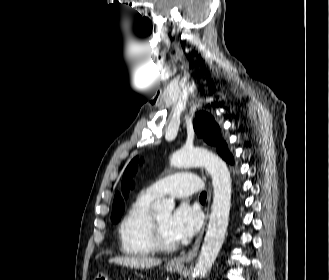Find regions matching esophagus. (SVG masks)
I'll list each match as a JSON object with an SVG mask.
<instances>
[{
  "instance_id": "obj_1",
  "label": "esophagus",
  "mask_w": 329,
  "mask_h": 280,
  "mask_svg": "<svg viewBox=\"0 0 329 280\" xmlns=\"http://www.w3.org/2000/svg\"><path fill=\"white\" fill-rule=\"evenodd\" d=\"M203 233H204V229L201 231V233L199 234L198 238L196 239L194 245L192 246V248L183 255H180L177 258H174L171 263L174 265H184L187 262L192 261L198 254L199 248H200V244L202 241V237H203Z\"/></svg>"
}]
</instances>
